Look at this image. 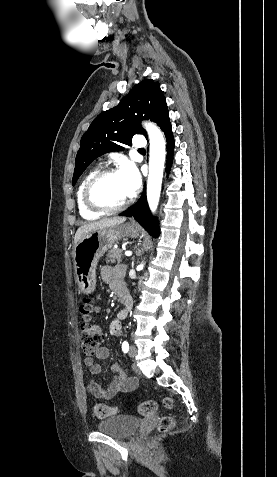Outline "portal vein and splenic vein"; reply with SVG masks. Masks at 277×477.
I'll return each instance as SVG.
<instances>
[{"label": "portal vein and splenic vein", "instance_id": "obj_1", "mask_svg": "<svg viewBox=\"0 0 277 477\" xmlns=\"http://www.w3.org/2000/svg\"><path fill=\"white\" fill-rule=\"evenodd\" d=\"M124 255H125V256H127V257H129V256H131V255H132V252H131V251H128V250H126V251L124 252Z\"/></svg>", "mask_w": 277, "mask_h": 477}]
</instances>
